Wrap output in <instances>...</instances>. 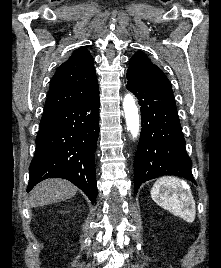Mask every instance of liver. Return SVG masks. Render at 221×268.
I'll return each instance as SVG.
<instances>
[{
  "mask_svg": "<svg viewBox=\"0 0 221 268\" xmlns=\"http://www.w3.org/2000/svg\"><path fill=\"white\" fill-rule=\"evenodd\" d=\"M77 187L64 179H47L36 185L31 191L29 205L44 206L74 197Z\"/></svg>",
  "mask_w": 221,
  "mask_h": 268,
  "instance_id": "liver-1",
  "label": "liver"
}]
</instances>
